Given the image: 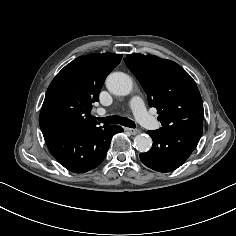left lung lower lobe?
<instances>
[{
    "instance_id": "left-lung-lower-lobe-1",
    "label": "left lung lower lobe",
    "mask_w": 236,
    "mask_h": 236,
    "mask_svg": "<svg viewBox=\"0 0 236 236\" xmlns=\"http://www.w3.org/2000/svg\"><path fill=\"white\" fill-rule=\"evenodd\" d=\"M202 132L203 130L190 128L148 131L153 139V145L148 152L140 154V159L144 165L153 170L173 171L191 155Z\"/></svg>"
}]
</instances>
